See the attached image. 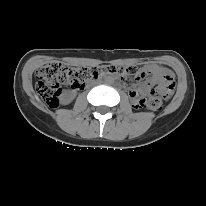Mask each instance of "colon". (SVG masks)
<instances>
[{"label":"colon","instance_id":"colon-1","mask_svg":"<svg viewBox=\"0 0 206 206\" xmlns=\"http://www.w3.org/2000/svg\"><path fill=\"white\" fill-rule=\"evenodd\" d=\"M102 73H115L126 78H140L145 72L136 67H108L105 69L92 67L71 68L59 63H49L36 72V90L42 100L50 107L57 106L63 85L82 88L88 81ZM175 87L171 75H167L160 83L152 85L148 95H139L136 99L138 107L159 110L162 101L168 99Z\"/></svg>","mask_w":206,"mask_h":206}]
</instances>
